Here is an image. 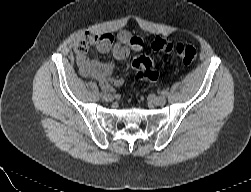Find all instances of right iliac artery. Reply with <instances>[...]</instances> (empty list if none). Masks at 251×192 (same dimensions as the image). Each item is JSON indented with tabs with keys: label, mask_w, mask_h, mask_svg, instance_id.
I'll use <instances>...</instances> for the list:
<instances>
[{
	"label": "right iliac artery",
	"mask_w": 251,
	"mask_h": 192,
	"mask_svg": "<svg viewBox=\"0 0 251 192\" xmlns=\"http://www.w3.org/2000/svg\"><path fill=\"white\" fill-rule=\"evenodd\" d=\"M100 95H101V97H102V98H104V97H105V95H106V90H104V89H103V92H101V94H100Z\"/></svg>",
	"instance_id": "82829eb1"
}]
</instances>
